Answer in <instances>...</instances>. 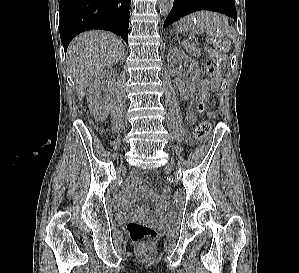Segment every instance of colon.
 Segmentation results:
<instances>
[{"label": "colon", "instance_id": "5ec220e1", "mask_svg": "<svg viewBox=\"0 0 299 273\" xmlns=\"http://www.w3.org/2000/svg\"><path fill=\"white\" fill-rule=\"evenodd\" d=\"M219 63L210 59L205 64L206 78L201 82L199 88V100L195 103L192 113L201 114L205 108L207 99L209 98L210 85L215 83L218 79ZM211 133V125L208 122H200L194 129V136L197 139L206 141ZM183 197L180 192H175L172 196V203L178 206L182 203ZM127 233L131 240L136 243L147 245L152 243L157 237V231L154 227L138 222L132 221L127 224Z\"/></svg>", "mask_w": 299, "mask_h": 273}]
</instances>
